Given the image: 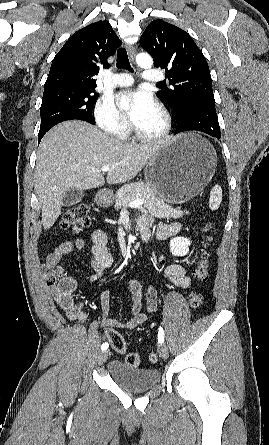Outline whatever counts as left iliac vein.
Instances as JSON below:
<instances>
[{"label": "left iliac vein", "instance_id": "obj_1", "mask_svg": "<svg viewBox=\"0 0 269 445\" xmlns=\"http://www.w3.org/2000/svg\"><path fill=\"white\" fill-rule=\"evenodd\" d=\"M158 351H159V355H160L161 358H163V359H167L168 358L169 352H168V348H167V346L165 344L159 345V350Z\"/></svg>", "mask_w": 269, "mask_h": 445}]
</instances>
